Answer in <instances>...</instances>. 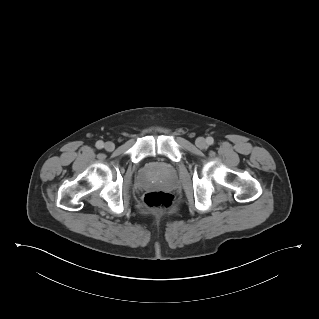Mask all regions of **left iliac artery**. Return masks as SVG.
Returning <instances> with one entry per match:
<instances>
[{
    "label": "left iliac artery",
    "instance_id": "1",
    "mask_svg": "<svg viewBox=\"0 0 319 319\" xmlns=\"http://www.w3.org/2000/svg\"><path fill=\"white\" fill-rule=\"evenodd\" d=\"M206 141L209 145H212L214 143V139L212 137H207Z\"/></svg>",
    "mask_w": 319,
    "mask_h": 319
}]
</instances>
